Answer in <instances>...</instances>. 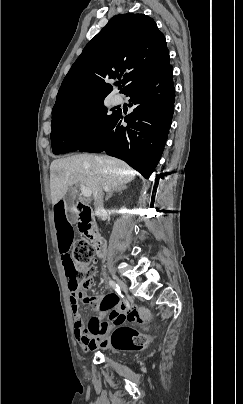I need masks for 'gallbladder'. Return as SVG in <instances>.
Masks as SVG:
<instances>
[{
  "mask_svg": "<svg viewBox=\"0 0 243 404\" xmlns=\"http://www.w3.org/2000/svg\"><path fill=\"white\" fill-rule=\"evenodd\" d=\"M76 198V194L74 192V188H68L63 200L64 204L66 206V211H67V219H68V224L69 225H74L75 224V219H76V213L74 212L73 206L76 205V202L74 201Z\"/></svg>",
  "mask_w": 243,
  "mask_h": 404,
  "instance_id": "gallbladder-1",
  "label": "gallbladder"
}]
</instances>
